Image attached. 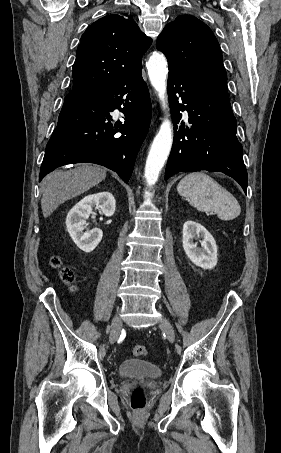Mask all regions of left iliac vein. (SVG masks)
I'll return each mask as SVG.
<instances>
[{
	"label": "left iliac vein",
	"mask_w": 281,
	"mask_h": 453,
	"mask_svg": "<svg viewBox=\"0 0 281 453\" xmlns=\"http://www.w3.org/2000/svg\"><path fill=\"white\" fill-rule=\"evenodd\" d=\"M158 321L160 322V327L163 328L164 330V334H166V337L168 338L169 341H174L175 340V332L174 330L172 329L171 325L169 324V322L167 321V318L166 317H159L158 318ZM158 322V323H159Z\"/></svg>",
	"instance_id": "left-iliac-vein-1"
}]
</instances>
